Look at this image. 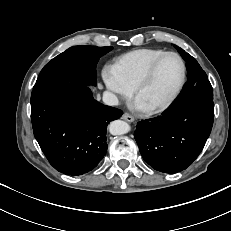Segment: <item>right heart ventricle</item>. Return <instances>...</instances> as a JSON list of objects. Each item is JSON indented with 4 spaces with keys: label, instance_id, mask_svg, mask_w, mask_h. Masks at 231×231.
Here are the masks:
<instances>
[{
    "label": "right heart ventricle",
    "instance_id": "e07e8e85",
    "mask_svg": "<svg viewBox=\"0 0 231 231\" xmlns=\"http://www.w3.org/2000/svg\"><path fill=\"white\" fill-rule=\"evenodd\" d=\"M165 52L157 48L136 49L116 58L112 68L126 85L134 88L149 65Z\"/></svg>",
    "mask_w": 231,
    "mask_h": 231
}]
</instances>
